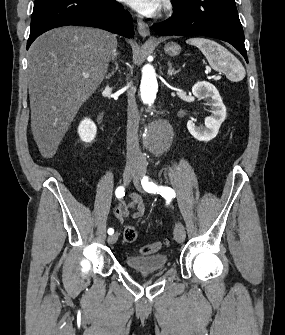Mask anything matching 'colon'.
Returning <instances> with one entry per match:
<instances>
[{
    "instance_id": "colon-1",
    "label": "colon",
    "mask_w": 285,
    "mask_h": 335,
    "mask_svg": "<svg viewBox=\"0 0 285 335\" xmlns=\"http://www.w3.org/2000/svg\"><path fill=\"white\" fill-rule=\"evenodd\" d=\"M137 238V230L134 226H126L123 231V239L125 242L131 243L134 242ZM167 242L157 241L151 244L144 245L140 248V253L143 255H148L156 253L161 250Z\"/></svg>"
}]
</instances>
